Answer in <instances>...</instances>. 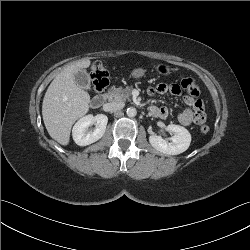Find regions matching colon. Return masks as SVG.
Instances as JSON below:
<instances>
[{
	"mask_svg": "<svg viewBox=\"0 0 250 250\" xmlns=\"http://www.w3.org/2000/svg\"><path fill=\"white\" fill-rule=\"evenodd\" d=\"M91 79L95 92L103 91L109 84V73L101 62H95L91 67ZM179 85L189 96L197 97L200 94V89L195 80L191 77H182L179 80ZM209 126L202 125L201 132L208 133Z\"/></svg>",
	"mask_w": 250,
	"mask_h": 250,
	"instance_id": "1",
	"label": "colon"
}]
</instances>
